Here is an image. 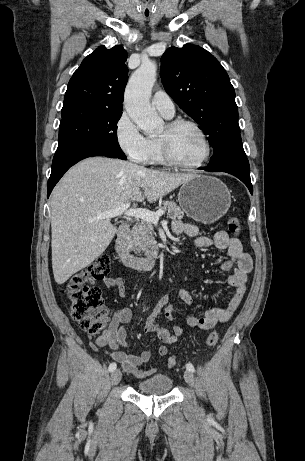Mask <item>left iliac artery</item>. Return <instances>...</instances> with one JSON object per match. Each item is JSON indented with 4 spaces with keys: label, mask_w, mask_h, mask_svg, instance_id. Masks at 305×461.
Masks as SVG:
<instances>
[{
    "label": "left iliac artery",
    "mask_w": 305,
    "mask_h": 461,
    "mask_svg": "<svg viewBox=\"0 0 305 461\" xmlns=\"http://www.w3.org/2000/svg\"><path fill=\"white\" fill-rule=\"evenodd\" d=\"M186 368L187 370L191 371V372H194L195 371V368L194 366L191 364V363H187L186 364Z\"/></svg>",
    "instance_id": "44dca946"
}]
</instances>
